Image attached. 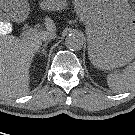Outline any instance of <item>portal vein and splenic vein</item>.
Masks as SVG:
<instances>
[{
	"label": "portal vein and splenic vein",
	"instance_id": "1",
	"mask_svg": "<svg viewBox=\"0 0 135 135\" xmlns=\"http://www.w3.org/2000/svg\"><path fill=\"white\" fill-rule=\"evenodd\" d=\"M8 31V27L4 29H0V33L6 34ZM37 32V29L34 28H29L26 31H24L23 36H29Z\"/></svg>",
	"mask_w": 135,
	"mask_h": 135
}]
</instances>
